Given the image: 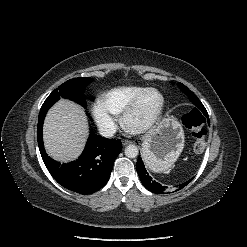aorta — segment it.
Instances as JSON below:
<instances>
[{
    "instance_id": "aorta-1",
    "label": "aorta",
    "mask_w": 247,
    "mask_h": 247,
    "mask_svg": "<svg viewBox=\"0 0 247 247\" xmlns=\"http://www.w3.org/2000/svg\"><path fill=\"white\" fill-rule=\"evenodd\" d=\"M138 148L137 146L135 145H128L126 148H125V155L128 157V158H135L138 156Z\"/></svg>"
}]
</instances>
